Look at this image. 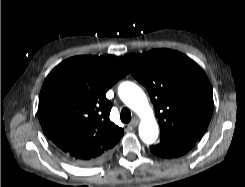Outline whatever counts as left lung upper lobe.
<instances>
[{
  "label": "left lung upper lobe",
  "mask_w": 245,
  "mask_h": 187,
  "mask_svg": "<svg viewBox=\"0 0 245 187\" xmlns=\"http://www.w3.org/2000/svg\"><path fill=\"white\" fill-rule=\"evenodd\" d=\"M124 61L150 94L161 137L204 134L213 112V95L198 64L170 49L130 54Z\"/></svg>",
  "instance_id": "obj_1"
}]
</instances>
